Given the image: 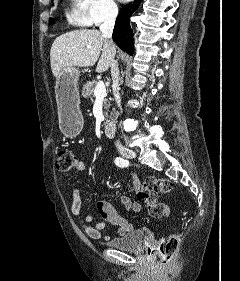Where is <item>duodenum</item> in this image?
Here are the masks:
<instances>
[{"mask_svg": "<svg viewBox=\"0 0 240 281\" xmlns=\"http://www.w3.org/2000/svg\"><path fill=\"white\" fill-rule=\"evenodd\" d=\"M116 126L113 122L107 121L104 124V133L108 138H112L115 135Z\"/></svg>", "mask_w": 240, "mask_h": 281, "instance_id": "obj_1", "label": "duodenum"}]
</instances>
